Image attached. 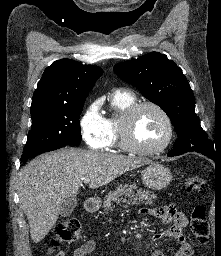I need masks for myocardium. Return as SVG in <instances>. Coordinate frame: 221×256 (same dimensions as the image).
<instances>
[{
  "label": "myocardium",
  "instance_id": "obj_1",
  "mask_svg": "<svg viewBox=\"0 0 221 256\" xmlns=\"http://www.w3.org/2000/svg\"><path fill=\"white\" fill-rule=\"evenodd\" d=\"M146 107L156 110L161 115L166 125V135L163 141L153 148L139 146L132 137V128L135 117ZM173 136L174 125L170 115L160 104L149 100L136 102L131 105L123 114L119 126V145L124 150L138 155L153 156L162 153L170 145Z\"/></svg>",
  "mask_w": 221,
  "mask_h": 256
}]
</instances>
